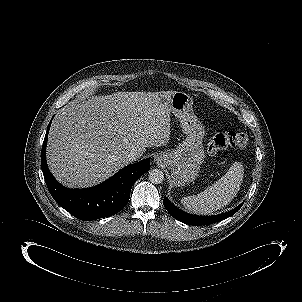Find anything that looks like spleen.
Returning a JSON list of instances; mask_svg holds the SVG:
<instances>
[{"label": "spleen", "instance_id": "spleen-1", "mask_svg": "<svg viewBox=\"0 0 302 302\" xmlns=\"http://www.w3.org/2000/svg\"><path fill=\"white\" fill-rule=\"evenodd\" d=\"M244 168L235 162L227 173L197 195L183 197L181 203L185 209L196 214H212L232 201L239 191Z\"/></svg>", "mask_w": 302, "mask_h": 302}]
</instances>
